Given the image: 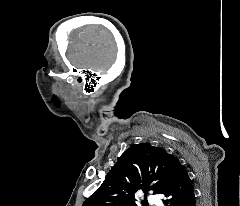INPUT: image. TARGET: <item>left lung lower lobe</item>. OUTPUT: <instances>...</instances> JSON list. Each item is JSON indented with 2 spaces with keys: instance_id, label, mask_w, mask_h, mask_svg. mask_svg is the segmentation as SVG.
I'll return each mask as SVG.
<instances>
[{
  "instance_id": "0a47b994",
  "label": "left lung lower lobe",
  "mask_w": 240,
  "mask_h": 206,
  "mask_svg": "<svg viewBox=\"0 0 240 206\" xmlns=\"http://www.w3.org/2000/svg\"><path fill=\"white\" fill-rule=\"evenodd\" d=\"M165 206H195L192 180L184 166L178 161L173 179L164 193Z\"/></svg>"
}]
</instances>
